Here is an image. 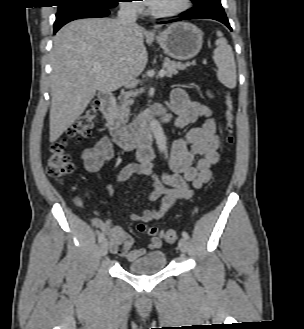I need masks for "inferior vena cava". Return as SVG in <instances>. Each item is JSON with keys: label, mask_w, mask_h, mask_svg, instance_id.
<instances>
[{"label": "inferior vena cava", "mask_w": 304, "mask_h": 329, "mask_svg": "<svg viewBox=\"0 0 304 329\" xmlns=\"http://www.w3.org/2000/svg\"><path fill=\"white\" fill-rule=\"evenodd\" d=\"M137 8L134 4L124 2L120 5L117 21L124 28L136 27Z\"/></svg>", "instance_id": "1"}]
</instances>
